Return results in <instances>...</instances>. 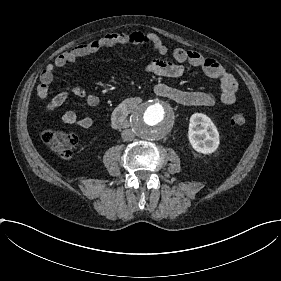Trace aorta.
<instances>
[{"label":"aorta","instance_id":"762f6f07","mask_svg":"<svg viewBox=\"0 0 281 281\" xmlns=\"http://www.w3.org/2000/svg\"><path fill=\"white\" fill-rule=\"evenodd\" d=\"M130 122L136 135L153 141L170 132L174 116L172 111L160 102H144L134 110Z\"/></svg>","mask_w":281,"mask_h":281}]
</instances>
